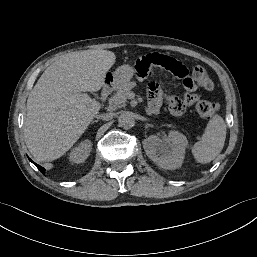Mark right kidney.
Masks as SVG:
<instances>
[{"mask_svg":"<svg viewBox=\"0 0 257 257\" xmlns=\"http://www.w3.org/2000/svg\"><path fill=\"white\" fill-rule=\"evenodd\" d=\"M92 150V143L89 140L82 141L69 154V160L72 163H83L89 156Z\"/></svg>","mask_w":257,"mask_h":257,"instance_id":"ca27d5eb","label":"right kidney"}]
</instances>
